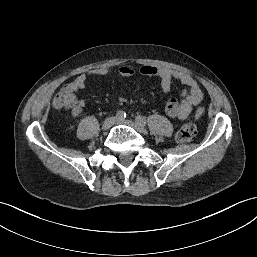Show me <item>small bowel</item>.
I'll return each mask as SVG.
<instances>
[{
	"instance_id": "obj_1",
	"label": "small bowel",
	"mask_w": 257,
	"mask_h": 257,
	"mask_svg": "<svg viewBox=\"0 0 257 257\" xmlns=\"http://www.w3.org/2000/svg\"><path fill=\"white\" fill-rule=\"evenodd\" d=\"M117 75L122 78H130L136 74L147 77L154 82L160 84L162 92L168 93L171 89L173 81H178L183 84L186 89L179 98H171L167 101L165 106L166 114L173 119L185 120L197 106L202 98L203 93L197 80L188 73L172 70L168 68H156L150 65H143L138 69L130 66H122L116 71ZM115 71L109 67H100L90 70L87 73L78 75L67 87V91L71 93L74 98L75 94L87 87L88 79L92 76L107 77L108 82H112V75ZM76 108L71 110L73 117H78L82 114L83 108L86 107L87 101L84 98L76 99ZM204 113L203 108H198L195 114L196 119H199Z\"/></svg>"
}]
</instances>
